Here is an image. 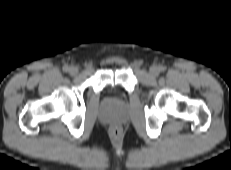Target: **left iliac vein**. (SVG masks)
I'll use <instances>...</instances> for the list:
<instances>
[{
	"label": "left iliac vein",
	"mask_w": 231,
	"mask_h": 170,
	"mask_svg": "<svg viewBox=\"0 0 231 170\" xmlns=\"http://www.w3.org/2000/svg\"><path fill=\"white\" fill-rule=\"evenodd\" d=\"M149 73H150L151 76L156 77V76L159 75V68L157 66H155V65L151 66L150 70H149Z\"/></svg>",
	"instance_id": "4c4485c4"
}]
</instances>
